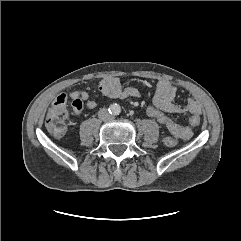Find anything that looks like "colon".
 <instances>
[{
	"mask_svg": "<svg viewBox=\"0 0 241 241\" xmlns=\"http://www.w3.org/2000/svg\"><path fill=\"white\" fill-rule=\"evenodd\" d=\"M81 109L82 102L80 100H73L71 103H68L65 94L59 95L48 110L45 121L47 130L57 137L64 135L68 117L72 112H80ZM146 111L153 121L166 128L171 134V136L165 139V144L170 147L175 146L179 139L191 138L193 136V128L200 124V117L192 115L189 118L191 127L181 126L155 105H148Z\"/></svg>",
	"mask_w": 241,
	"mask_h": 241,
	"instance_id": "obj_1",
	"label": "colon"
}]
</instances>
